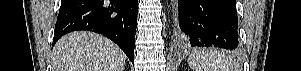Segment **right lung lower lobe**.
I'll use <instances>...</instances> for the list:
<instances>
[{
    "mask_svg": "<svg viewBox=\"0 0 301 71\" xmlns=\"http://www.w3.org/2000/svg\"><path fill=\"white\" fill-rule=\"evenodd\" d=\"M138 0H62L53 44L66 33L89 30L115 42L134 63Z\"/></svg>",
    "mask_w": 301,
    "mask_h": 71,
    "instance_id": "obj_1",
    "label": "right lung lower lobe"
}]
</instances>
